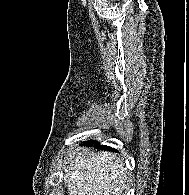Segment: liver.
Masks as SVG:
<instances>
[{"mask_svg":"<svg viewBox=\"0 0 189 195\" xmlns=\"http://www.w3.org/2000/svg\"><path fill=\"white\" fill-rule=\"evenodd\" d=\"M69 195H119L125 188L126 172L108 152L91 153L84 149L65 169Z\"/></svg>","mask_w":189,"mask_h":195,"instance_id":"1","label":"liver"}]
</instances>
